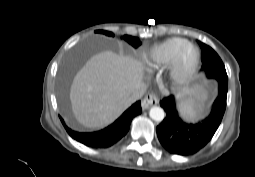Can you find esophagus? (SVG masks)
<instances>
[{
    "instance_id": "1",
    "label": "esophagus",
    "mask_w": 255,
    "mask_h": 177,
    "mask_svg": "<svg viewBox=\"0 0 255 177\" xmlns=\"http://www.w3.org/2000/svg\"><path fill=\"white\" fill-rule=\"evenodd\" d=\"M157 103V97L154 94H149L142 100L141 106L143 110H146L151 106L157 105Z\"/></svg>"
}]
</instances>
